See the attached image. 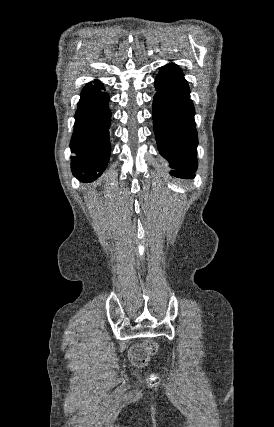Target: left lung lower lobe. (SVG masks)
<instances>
[{
	"mask_svg": "<svg viewBox=\"0 0 274 427\" xmlns=\"http://www.w3.org/2000/svg\"><path fill=\"white\" fill-rule=\"evenodd\" d=\"M155 88L153 123L159 152L174 169L172 176L192 179L198 139L188 83L179 67L169 64L157 75Z\"/></svg>",
	"mask_w": 274,
	"mask_h": 427,
	"instance_id": "left-lung-lower-lobe-1",
	"label": "left lung lower lobe"
}]
</instances>
